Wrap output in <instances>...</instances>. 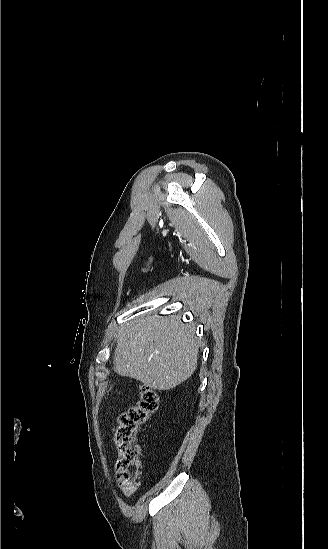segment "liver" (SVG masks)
<instances>
[{
  "mask_svg": "<svg viewBox=\"0 0 328 549\" xmlns=\"http://www.w3.org/2000/svg\"><path fill=\"white\" fill-rule=\"evenodd\" d=\"M198 351L195 327L179 317H142L120 329L113 369L150 389L170 391L193 375Z\"/></svg>",
  "mask_w": 328,
  "mask_h": 549,
  "instance_id": "1",
  "label": "liver"
}]
</instances>
